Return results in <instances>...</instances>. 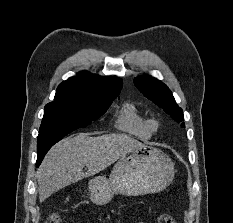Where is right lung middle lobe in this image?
Instances as JSON below:
<instances>
[{
	"mask_svg": "<svg viewBox=\"0 0 233 223\" xmlns=\"http://www.w3.org/2000/svg\"><path fill=\"white\" fill-rule=\"evenodd\" d=\"M110 103H88L76 100H55L44 108L37 151L41 153L68 133L89 125L102 116Z\"/></svg>",
	"mask_w": 233,
	"mask_h": 223,
	"instance_id": "right-lung-middle-lobe-1",
	"label": "right lung middle lobe"
}]
</instances>
